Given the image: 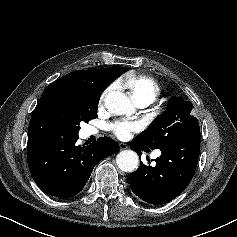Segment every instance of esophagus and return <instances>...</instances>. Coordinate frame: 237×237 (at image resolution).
Returning a JSON list of instances; mask_svg holds the SVG:
<instances>
[{
    "mask_svg": "<svg viewBox=\"0 0 237 237\" xmlns=\"http://www.w3.org/2000/svg\"><path fill=\"white\" fill-rule=\"evenodd\" d=\"M119 147H120V150H126V149H128V146H127V144H125V143H119Z\"/></svg>",
    "mask_w": 237,
    "mask_h": 237,
    "instance_id": "1",
    "label": "esophagus"
}]
</instances>
